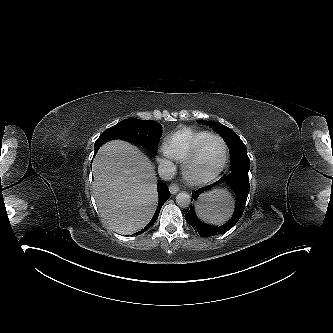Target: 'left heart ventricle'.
Listing matches in <instances>:
<instances>
[{
    "instance_id": "obj_1",
    "label": "left heart ventricle",
    "mask_w": 333,
    "mask_h": 333,
    "mask_svg": "<svg viewBox=\"0 0 333 333\" xmlns=\"http://www.w3.org/2000/svg\"><path fill=\"white\" fill-rule=\"evenodd\" d=\"M224 146L218 139L209 140L202 148L198 158L192 163L191 171L196 176H207L214 172L222 162Z\"/></svg>"
}]
</instances>
